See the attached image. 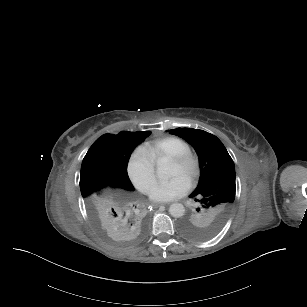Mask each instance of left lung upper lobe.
I'll return each instance as SVG.
<instances>
[{
  "label": "left lung upper lobe",
  "mask_w": 307,
  "mask_h": 307,
  "mask_svg": "<svg viewBox=\"0 0 307 307\" xmlns=\"http://www.w3.org/2000/svg\"><path fill=\"white\" fill-rule=\"evenodd\" d=\"M169 133L194 147L201 169L198 186L190 195L198 207L181 221L180 229L190 239H209L224 226L235 199L234 162L222 142L206 131L176 128Z\"/></svg>",
  "instance_id": "5c2ea615"
}]
</instances>
